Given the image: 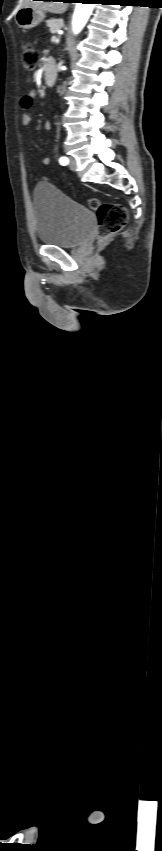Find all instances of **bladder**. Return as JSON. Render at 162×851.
Masks as SVG:
<instances>
[{"label":"bladder","instance_id":"bladder-1","mask_svg":"<svg viewBox=\"0 0 162 851\" xmlns=\"http://www.w3.org/2000/svg\"><path fill=\"white\" fill-rule=\"evenodd\" d=\"M38 240L42 244L75 248L90 236L96 218L51 183H38L33 191Z\"/></svg>","mask_w":162,"mask_h":851}]
</instances>
